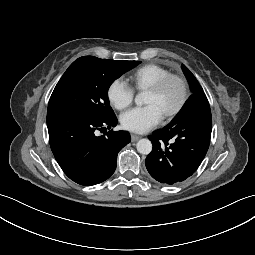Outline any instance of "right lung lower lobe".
Segmentation results:
<instances>
[{
  "label": "right lung lower lobe",
  "instance_id": "right-lung-lower-lobe-1",
  "mask_svg": "<svg viewBox=\"0 0 255 255\" xmlns=\"http://www.w3.org/2000/svg\"><path fill=\"white\" fill-rule=\"evenodd\" d=\"M116 116L100 119L73 110L47 112L51 150L63 172L74 182L90 186L108 179L115 171L118 152L130 141L126 131L96 130L116 126Z\"/></svg>",
  "mask_w": 255,
  "mask_h": 255
}]
</instances>
